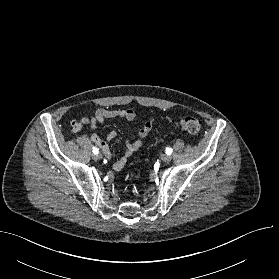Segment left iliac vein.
<instances>
[{"instance_id": "left-iliac-vein-1", "label": "left iliac vein", "mask_w": 279, "mask_h": 279, "mask_svg": "<svg viewBox=\"0 0 279 279\" xmlns=\"http://www.w3.org/2000/svg\"><path fill=\"white\" fill-rule=\"evenodd\" d=\"M171 159H172V157H171L170 155H168V154H163V155L161 156V160H162L163 162H166V163L170 162Z\"/></svg>"}]
</instances>
